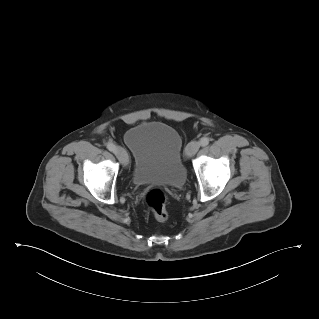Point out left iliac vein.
<instances>
[{
	"label": "left iliac vein",
	"instance_id": "left-iliac-vein-1",
	"mask_svg": "<svg viewBox=\"0 0 319 319\" xmlns=\"http://www.w3.org/2000/svg\"><path fill=\"white\" fill-rule=\"evenodd\" d=\"M200 148V143L198 141H192L190 142L185 150V154L187 157H192L196 154V152L199 150Z\"/></svg>",
	"mask_w": 319,
	"mask_h": 319
}]
</instances>
